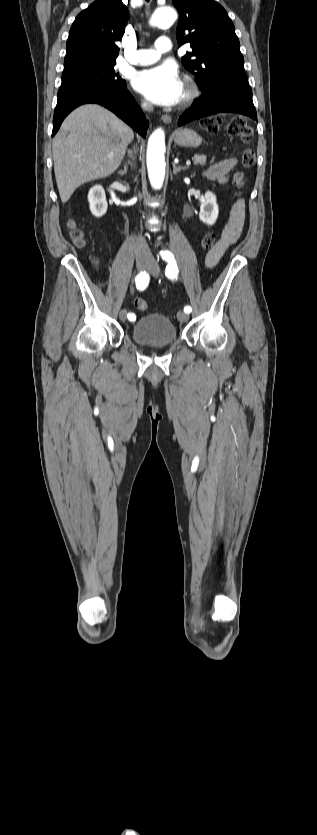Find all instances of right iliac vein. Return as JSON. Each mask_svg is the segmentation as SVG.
<instances>
[{"label": "right iliac vein", "mask_w": 317, "mask_h": 835, "mask_svg": "<svg viewBox=\"0 0 317 835\" xmlns=\"http://www.w3.org/2000/svg\"><path fill=\"white\" fill-rule=\"evenodd\" d=\"M148 264H149V261L145 257H138L136 259V266H137L138 270L146 269L148 267ZM126 316H127V311L126 310H121L120 313H119V318L122 321H124L126 319Z\"/></svg>", "instance_id": "1"}]
</instances>
